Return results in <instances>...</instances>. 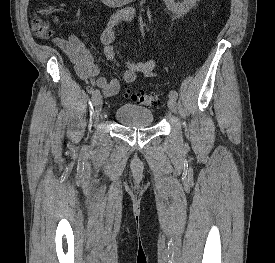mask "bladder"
<instances>
[{
  "mask_svg": "<svg viewBox=\"0 0 275 263\" xmlns=\"http://www.w3.org/2000/svg\"><path fill=\"white\" fill-rule=\"evenodd\" d=\"M114 116L119 124L133 128L148 127L154 118L152 110L133 104L119 106Z\"/></svg>",
  "mask_w": 275,
  "mask_h": 263,
  "instance_id": "bladder-1",
  "label": "bladder"
}]
</instances>
